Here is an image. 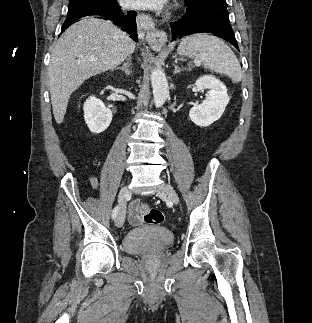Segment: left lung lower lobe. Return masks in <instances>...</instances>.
Returning <instances> with one entry per match:
<instances>
[{
	"label": "left lung lower lobe",
	"mask_w": 312,
	"mask_h": 323,
	"mask_svg": "<svg viewBox=\"0 0 312 323\" xmlns=\"http://www.w3.org/2000/svg\"><path fill=\"white\" fill-rule=\"evenodd\" d=\"M170 26L173 40L195 33H211L231 42L239 50L229 21L226 0L205 2L193 14L185 13Z\"/></svg>",
	"instance_id": "left-lung-lower-lobe-1"
}]
</instances>
